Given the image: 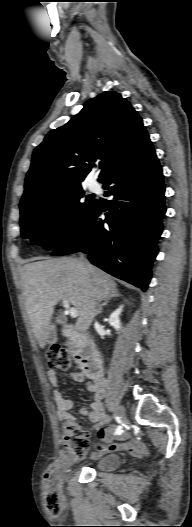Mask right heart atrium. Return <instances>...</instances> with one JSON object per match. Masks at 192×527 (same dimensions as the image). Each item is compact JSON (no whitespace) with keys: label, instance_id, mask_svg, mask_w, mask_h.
Here are the masks:
<instances>
[{"label":"right heart atrium","instance_id":"obj_1","mask_svg":"<svg viewBox=\"0 0 192 527\" xmlns=\"http://www.w3.org/2000/svg\"><path fill=\"white\" fill-rule=\"evenodd\" d=\"M71 224V217L68 211L60 209L56 211L47 227V234L50 240L56 241L62 239L68 232Z\"/></svg>","mask_w":192,"mask_h":527}]
</instances>
